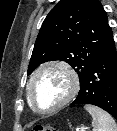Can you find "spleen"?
I'll return each mask as SVG.
<instances>
[{"label":"spleen","mask_w":117,"mask_h":131,"mask_svg":"<svg viewBox=\"0 0 117 131\" xmlns=\"http://www.w3.org/2000/svg\"><path fill=\"white\" fill-rule=\"evenodd\" d=\"M84 108L92 116L93 131H117L114 118L99 107L86 104Z\"/></svg>","instance_id":"1"}]
</instances>
